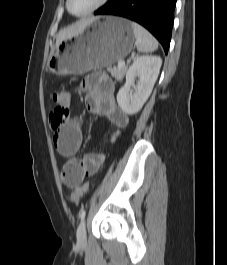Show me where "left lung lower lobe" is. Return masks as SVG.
Listing matches in <instances>:
<instances>
[{"mask_svg": "<svg viewBox=\"0 0 227 265\" xmlns=\"http://www.w3.org/2000/svg\"><path fill=\"white\" fill-rule=\"evenodd\" d=\"M176 0H109L95 15H116L148 29L168 53Z\"/></svg>", "mask_w": 227, "mask_h": 265, "instance_id": "1", "label": "left lung lower lobe"}]
</instances>
